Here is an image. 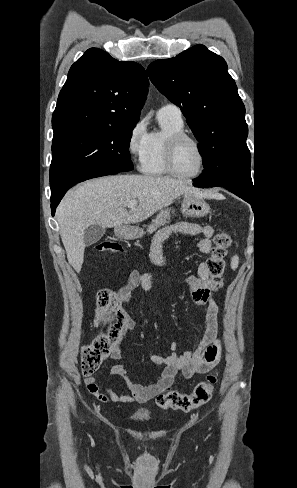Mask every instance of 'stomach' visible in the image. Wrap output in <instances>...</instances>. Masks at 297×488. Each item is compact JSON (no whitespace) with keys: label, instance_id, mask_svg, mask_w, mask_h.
I'll list each match as a JSON object with an SVG mask.
<instances>
[{"label":"stomach","instance_id":"obj_1","mask_svg":"<svg viewBox=\"0 0 297 488\" xmlns=\"http://www.w3.org/2000/svg\"><path fill=\"white\" fill-rule=\"evenodd\" d=\"M211 209L203 198L195 194H184L181 212L186 217L201 218L210 213ZM117 236L124 239H135L143 235V230L137 226H120L115 230Z\"/></svg>","mask_w":297,"mask_h":488}]
</instances>
